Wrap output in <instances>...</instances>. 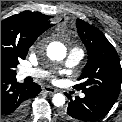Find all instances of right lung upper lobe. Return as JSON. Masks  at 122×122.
I'll list each match as a JSON object with an SVG mask.
<instances>
[{
	"label": "right lung upper lobe",
	"mask_w": 122,
	"mask_h": 122,
	"mask_svg": "<svg viewBox=\"0 0 122 122\" xmlns=\"http://www.w3.org/2000/svg\"><path fill=\"white\" fill-rule=\"evenodd\" d=\"M39 12L24 11L1 21V50H8L19 57H26L28 50L44 31L53 26Z\"/></svg>",
	"instance_id": "obj_1"
}]
</instances>
